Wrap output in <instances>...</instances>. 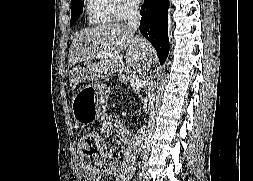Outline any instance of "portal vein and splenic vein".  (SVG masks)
I'll list each match as a JSON object with an SVG mask.
<instances>
[{
	"label": "portal vein and splenic vein",
	"instance_id": "18ae733b",
	"mask_svg": "<svg viewBox=\"0 0 253 181\" xmlns=\"http://www.w3.org/2000/svg\"><path fill=\"white\" fill-rule=\"evenodd\" d=\"M98 58H110L112 60L123 62V57L120 56L118 53L113 52H102L97 55ZM128 79L130 80L131 87L134 90H139L142 86L141 80L138 78L136 74L130 73L128 75Z\"/></svg>",
	"mask_w": 253,
	"mask_h": 181
}]
</instances>
